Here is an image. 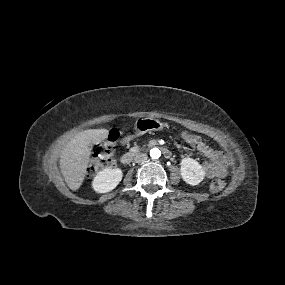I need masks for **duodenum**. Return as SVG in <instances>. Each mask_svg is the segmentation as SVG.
<instances>
[{"label": "duodenum", "instance_id": "duodenum-1", "mask_svg": "<svg viewBox=\"0 0 285 285\" xmlns=\"http://www.w3.org/2000/svg\"><path fill=\"white\" fill-rule=\"evenodd\" d=\"M161 150H162L163 155H164L166 158H168V159L171 158L172 153H171V151H170L168 148L162 147ZM139 151H140L139 148H133V149H131V150L125 152V153L121 156V158H120L121 162H122L123 164H128V163H130V162L132 161V159L134 158V156H135Z\"/></svg>", "mask_w": 285, "mask_h": 285}]
</instances>
